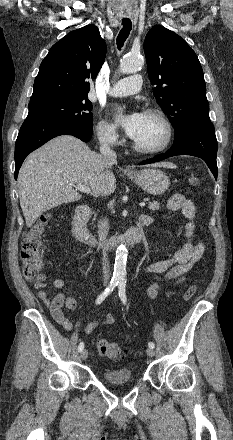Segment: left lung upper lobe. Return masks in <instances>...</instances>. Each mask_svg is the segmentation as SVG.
<instances>
[{"label":"left lung upper lobe","mask_w":233,"mask_h":440,"mask_svg":"<svg viewBox=\"0 0 233 440\" xmlns=\"http://www.w3.org/2000/svg\"><path fill=\"white\" fill-rule=\"evenodd\" d=\"M144 53L154 96L174 127L175 140L193 125L211 122L203 70L186 41L156 25L146 35Z\"/></svg>","instance_id":"left-lung-upper-lobe-1"}]
</instances>
